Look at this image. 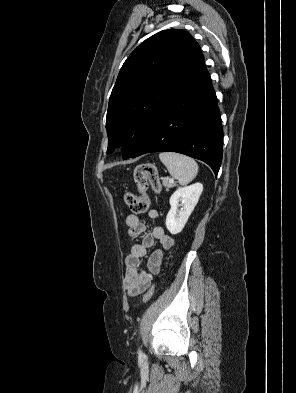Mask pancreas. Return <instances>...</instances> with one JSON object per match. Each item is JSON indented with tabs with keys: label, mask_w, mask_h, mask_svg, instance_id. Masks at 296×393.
I'll list each match as a JSON object with an SVG mask.
<instances>
[{
	"label": "pancreas",
	"mask_w": 296,
	"mask_h": 393,
	"mask_svg": "<svg viewBox=\"0 0 296 393\" xmlns=\"http://www.w3.org/2000/svg\"><path fill=\"white\" fill-rule=\"evenodd\" d=\"M162 183H163V186L165 187L166 191H168L170 188L175 186V184L170 183L167 178H162Z\"/></svg>",
	"instance_id": "cf45deb5"
}]
</instances>
